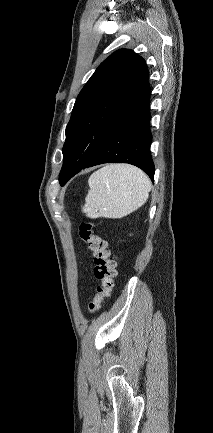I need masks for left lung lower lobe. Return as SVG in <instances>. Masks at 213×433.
I'll list each match as a JSON object with an SVG mask.
<instances>
[{
    "label": "left lung lower lobe",
    "mask_w": 213,
    "mask_h": 433,
    "mask_svg": "<svg viewBox=\"0 0 213 433\" xmlns=\"http://www.w3.org/2000/svg\"><path fill=\"white\" fill-rule=\"evenodd\" d=\"M149 106L150 85L147 81L83 168L111 162L129 163L142 169L153 181L155 168L150 152L152 134Z\"/></svg>",
    "instance_id": "0a47b994"
}]
</instances>
